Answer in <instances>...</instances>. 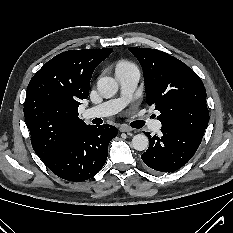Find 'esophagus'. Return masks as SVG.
<instances>
[{
	"label": "esophagus",
	"mask_w": 233,
	"mask_h": 233,
	"mask_svg": "<svg viewBox=\"0 0 233 233\" xmlns=\"http://www.w3.org/2000/svg\"><path fill=\"white\" fill-rule=\"evenodd\" d=\"M133 129L131 127H129L128 125H121L119 128L120 132H131Z\"/></svg>",
	"instance_id": "esophagus-1"
}]
</instances>
